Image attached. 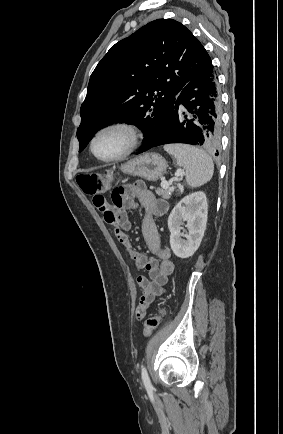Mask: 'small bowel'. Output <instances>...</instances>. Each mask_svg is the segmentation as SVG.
<instances>
[{"mask_svg": "<svg viewBox=\"0 0 283 434\" xmlns=\"http://www.w3.org/2000/svg\"><path fill=\"white\" fill-rule=\"evenodd\" d=\"M93 204L104 215L105 221L115 228L118 242L135 265L148 273V277H137L141 297L135 317L137 320H142L156 297L164 293L168 277L174 270V264L170 260L171 251L168 247L161 246L155 223V218L167 213L168 203L156 198L144 183L137 181L115 188L111 193V202H108L102 193L93 196ZM138 206L144 210L142 233L153 257L136 250L127 234L131 225L126 210Z\"/></svg>", "mask_w": 283, "mask_h": 434, "instance_id": "obj_1", "label": "small bowel"}]
</instances>
